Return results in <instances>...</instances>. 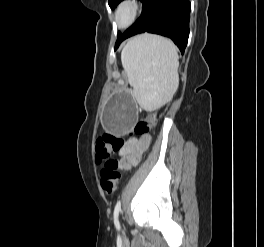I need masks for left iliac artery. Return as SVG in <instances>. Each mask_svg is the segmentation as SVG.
I'll use <instances>...</instances> for the list:
<instances>
[{
	"label": "left iliac artery",
	"instance_id": "left-iliac-artery-1",
	"mask_svg": "<svg viewBox=\"0 0 264 247\" xmlns=\"http://www.w3.org/2000/svg\"><path fill=\"white\" fill-rule=\"evenodd\" d=\"M121 210V201H118L115 205V208H114V223L115 224H119V220H118V216H119V212Z\"/></svg>",
	"mask_w": 264,
	"mask_h": 247
}]
</instances>
